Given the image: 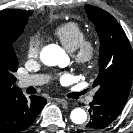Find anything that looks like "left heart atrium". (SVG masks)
Segmentation results:
<instances>
[{
    "instance_id": "left-heart-atrium-1",
    "label": "left heart atrium",
    "mask_w": 133,
    "mask_h": 133,
    "mask_svg": "<svg viewBox=\"0 0 133 133\" xmlns=\"http://www.w3.org/2000/svg\"><path fill=\"white\" fill-rule=\"evenodd\" d=\"M61 80H63V81H67V80H69V78H70V76L68 75V74H63V75H61Z\"/></svg>"
}]
</instances>
